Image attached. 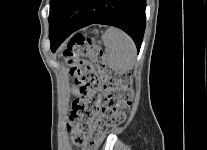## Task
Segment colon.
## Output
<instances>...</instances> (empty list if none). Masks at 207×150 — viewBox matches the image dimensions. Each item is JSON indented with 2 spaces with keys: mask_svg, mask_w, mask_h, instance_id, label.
Segmentation results:
<instances>
[{
  "mask_svg": "<svg viewBox=\"0 0 207 150\" xmlns=\"http://www.w3.org/2000/svg\"><path fill=\"white\" fill-rule=\"evenodd\" d=\"M63 56L81 94L73 102L69 116L72 142L86 150H95L129 112L133 100L131 75L115 69L102 50L83 35L70 40Z\"/></svg>",
  "mask_w": 207,
  "mask_h": 150,
  "instance_id": "obj_1",
  "label": "colon"
}]
</instances>
